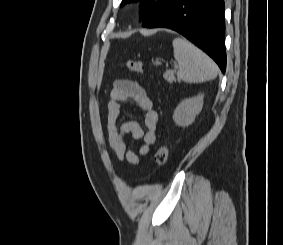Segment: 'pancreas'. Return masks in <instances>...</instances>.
Masks as SVG:
<instances>
[{"mask_svg":"<svg viewBox=\"0 0 283 245\" xmlns=\"http://www.w3.org/2000/svg\"><path fill=\"white\" fill-rule=\"evenodd\" d=\"M163 77L169 82L172 83L173 81H175V76H174V71L173 70H167Z\"/></svg>","mask_w":283,"mask_h":245,"instance_id":"cf45deb5","label":"pancreas"}]
</instances>
